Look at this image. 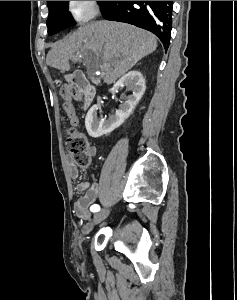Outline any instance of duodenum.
<instances>
[{
  "label": "duodenum",
  "mask_w": 237,
  "mask_h": 300,
  "mask_svg": "<svg viewBox=\"0 0 237 300\" xmlns=\"http://www.w3.org/2000/svg\"><path fill=\"white\" fill-rule=\"evenodd\" d=\"M70 82L83 95L85 106L89 105L95 96V88L85 75L80 71L73 72L70 75Z\"/></svg>",
  "instance_id": "obj_1"
}]
</instances>
